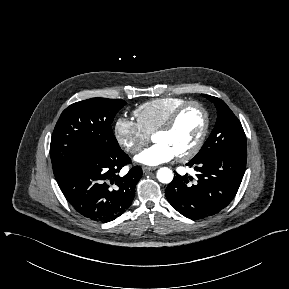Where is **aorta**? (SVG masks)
I'll return each mask as SVG.
<instances>
[{"mask_svg":"<svg viewBox=\"0 0 289 289\" xmlns=\"http://www.w3.org/2000/svg\"><path fill=\"white\" fill-rule=\"evenodd\" d=\"M173 172L167 167H162L157 171V179L164 184H169L173 180Z\"/></svg>","mask_w":289,"mask_h":289,"instance_id":"762f6f07","label":"aorta"}]
</instances>
